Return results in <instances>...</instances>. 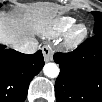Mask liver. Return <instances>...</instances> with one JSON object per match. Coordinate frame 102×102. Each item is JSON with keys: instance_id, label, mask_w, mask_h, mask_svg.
I'll list each match as a JSON object with an SVG mask.
<instances>
[{"instance_id": "obj_1", "label": "liver", "mask_w": 102, "mask_h": 102, "mask_svg": "<svg viewBox=\"0 0 102 102\" xmlns=\"http://www.w3.org/2000/svg\"><path fill=\"white\" fill-rule=\"evenodd\" d=\"M58 14L55 5L49 2H35L27 6L24 13H2L0 32L2 41L11 48H16L28 38L39 34V26Z\"/></svg>"}]
</instances>
